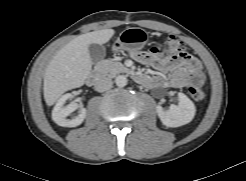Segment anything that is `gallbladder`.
I'll use <instances>...</instances> for the list:
<instances>
[{
  "instance_id": "bac80fb5",
  "label": "gallbladder",
  "mask_w": 246,
  "mask_h": 181,
  "mask_svg": "<svg viewBox=\"0 0 246 181\" xmlns=\"http://www.w3.org/2000/svg\"><path fill=\"white\" fill-rule=\"evenodd\" d=\"M88 49L93 64L99 63L106 55V50L101 45L90 44Z\"/></svg>"
}]
</instances>
